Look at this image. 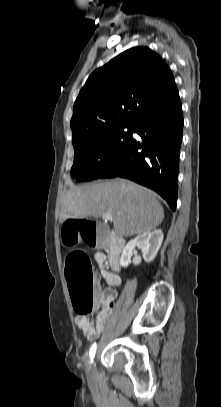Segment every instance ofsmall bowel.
<instances>
[{
	"instance_id": "1",
	"label": "small bowel",
	"mask_w": 221,
	"mask_h": 407,
	"mask_svg": "<svg viewBox=\"0 0 221 407\" xmlns=\"http://www.w3.org/2000/svg\"><path fill=\"white\" fill-rule=\"evenodd\" d=\"M93 258L95 264L100 269L107 289L104 291L96 289L97 305L100 307V309L95 321H91L85 316H78L76 318L77 326L88 340L98 338L103 332L114 307V300L117 295L113 288L119 286L121 283L120 277L117 274L106 269L105 265L107 257L104 253L96 252Z\"/></svg>"
}]
</instances>
